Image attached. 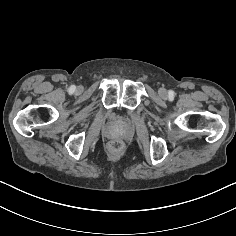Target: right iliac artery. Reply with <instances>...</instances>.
<instances>
[{"label": "right iliac artery", "mask_w": 236, "mask_h": 236, "mask_svg": "<svg viewBox=\"0 0 236 236\" xmlns=\"http://www.w3.org/2000/svg\"><path fill=\"white\" fill-rule=\"evenodd\" d=\"M76 87L74 85H72L70 88H69V92L70 93H73L75 91Z\"/></svg>", "instance_id": "1"}]
</instances>
